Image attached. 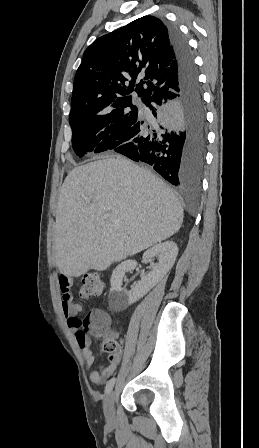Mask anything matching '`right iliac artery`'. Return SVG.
I'll use <instances>...</instances> for the list:
<instances>
[{
    "mask_svg": "<svg viewBox=\"0 0 259 448\" xmlns=\"http://www.w3.org/2000/svg\"><path fill=\"white\" fill-rule=\"evenodd\" d=\"M114 384H115V378H111V379L107 382L106 387H105V393H106V394H108V393L112 390Z\"/></svg>",
    "mask_w": 259,
    "mask_h": 448,
    "instance_id": "82829eb1",
    "label": "right iliac artery"
}]
</instances>
